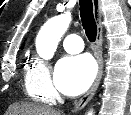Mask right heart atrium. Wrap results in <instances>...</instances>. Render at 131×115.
<instances>
[{
    "label": "right heart atrium",
    "instance_id": "obj_1",
    "mask_svg": "<svg viewBox=\"0 0 131 115\" xmlns=\"http://www.w3.org/2000/svg\"><path fill=\"white\" fill-rule=\"evenodd\" d=\"M25 88L30 97L47 104L53 103L58 97L51 80L49 65L39 58L32 59L26 70Z\"/></svg>",
    "mask_w": 131,
    "mask_h": 115
}]
</instances>
